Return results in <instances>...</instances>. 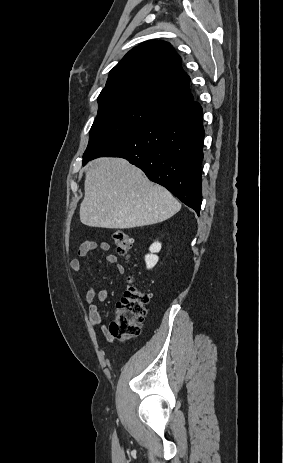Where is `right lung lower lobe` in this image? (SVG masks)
Wrapping results in <instances>:
<instances>
[{"label":"right lung lower lobe","mask_w":283,"mask_h":463,"mask_svg":"<svg viewBox=\"0 0 283 463\" xmlns=\"http://www.w3.org/2000/svg\"><path fill=\"white\" fill-rule=\"evenodd\" d=\"M202 108L191 100L161 111L83 158L121 157L142 169L199 215L202 203Z\"/></svg>","instance_id":"98d812e1"}]
</instances>
